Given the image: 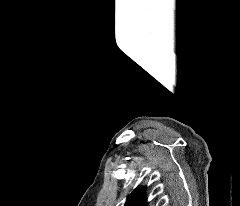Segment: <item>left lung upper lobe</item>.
Here are the masks:
<instances>
[{"mask_svg":"<svg viewBox=\"0 0 240 206\" xmlns=\"http://www.w3.org/2000/svg\"><path fill=\"white\" fill-rule=\"evenodd\" d=\"M125 206H148L146 202L145 188L135 189L127 198Z\"/></svg>","mask_w":240,"mask_h":206,"instance_id":"1","label":"left lung upper lobe"}]
</instances>
